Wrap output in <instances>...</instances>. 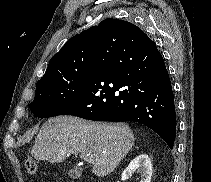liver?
<instances>
[{
    "instance_id": "1",
    "label": "liver",
    "mask_w": 211,
    "mask_h": 182,
    "mask_svg": "<svg viewBox=\"0 0 211 182\" xmlns=\"http://www.w3.org/2000/svg\"><path fill=\"white\" fill-rule=\"evenodd\" d=\"M135 138L124 123L108 124L85 121L73 116H59L41 127L31 154L36 160L62 162L71 154L95 155L92 173L109 175L129 153Z\"/></svg>"
}]
</instances>
